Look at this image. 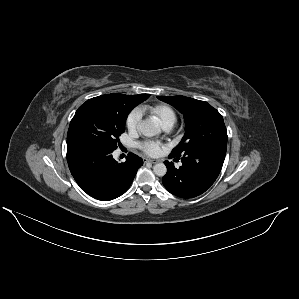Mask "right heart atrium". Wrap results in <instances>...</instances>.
<instances>
[{
  "label": "right heart atrium",
  "mask_w": 299,
  "mask_h": 299,
  "mask_svg": "<svg viewBox=\"0 0 299 299\" xmlns=\"http://www.w3.org/2000/svg\"><path fill=\"white\" fill-rule=\"evenodd\" d=\"M141 117H142V110L139 108L134 109L128 115L126 120V127L130 132L134 133L138 130Z\"/></svg>",
  "instance_id": "1"
}]
</instances>
